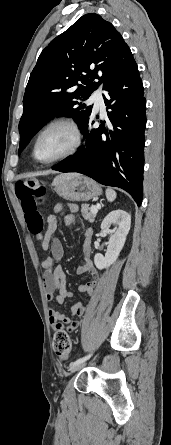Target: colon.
Segmentation results:
<instances>
[{
  "mask_svg": "<svg viewBox=\"0 0 171 445\" xmlns=\"http://www.w3.org/2000/svg\"><path fill=\"white\" fill-rule=\"evenodd\" d=\"M16 195L25 214L29 230L42 240L44 218L41 208L46 201L47 186L36 180H24L16 183ZM53 349L60 359H67L71 351V342L68 333L62 328L55 331Z\"/></svg>",
  "mask_w": 171,
  "mask_h": 445,
  "instance_id": "obj_1",
  "label": "colon"
}]
</instances>
